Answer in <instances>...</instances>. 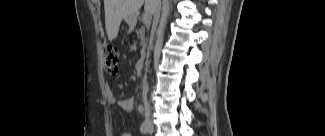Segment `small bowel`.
Instances as JSON below:
<instances>
[{"mask_svg":"<svg viewBox=\"0 0 325 136\" xmlns=\"http://www.w3.org/2000/svg\"><path fill=\"white\" fill-rule=\"evenodd\" d=\"M106 97L109 103L116 102V96L110 88H106ZM120 106L127 112H133L135 109V100L133 98H126L120 101Z\"/></svg>","mask_w":325,"mask_h":136,"instance_id":"1","label":"small bowel"}]
</instances>
